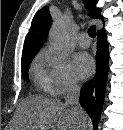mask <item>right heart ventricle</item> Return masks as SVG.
<instances>
[{"label":"right heart ventricle","instance_id":"1","mask_svg":"<svg viewBox=\"0 0 123 130\" xmlns=\"http://www.w3.org/2000/svg\"><path fill=\"white\" fill-rule=\"evenodd\" d=\"M34 73H35V78L39 85L46 91H48L47 84L44 80V77L41 72V66H40V58L39 56L37 57L35 63H34Z\"/></svg>","mask_w":123,"mask_h":130}]
</instances>
